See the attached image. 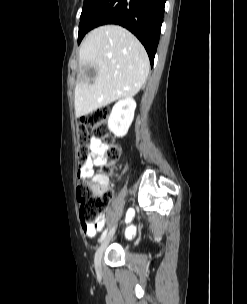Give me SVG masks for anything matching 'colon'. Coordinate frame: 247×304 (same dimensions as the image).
Listing matches in <instances>:
<instances>
[{
  "label": "colon",
  "instance_id": "obj_1",
  "mask_svg": "<svg viewBox=\"0 0 247 304\" xmlns=\"http://www.w3.org/2000/svg\"><path fill=\"white\" fill-rule=\"evenodd\" d=\"M109 111L105 108L96 109L83 116L78 126V159L84 163L90 155V141L92 138L110 142L108 152L111 157L118 158L120 148L109 138L107 121ZM112 165L105 166L102 174L96 179H81L78 185V201L80 204V218L82 224H94L108 207L112 194L107 187L105 178L112 172Z\"/></svg>",
  "mask_w": 247,
  "mask_h": 304
}]
</instances>
